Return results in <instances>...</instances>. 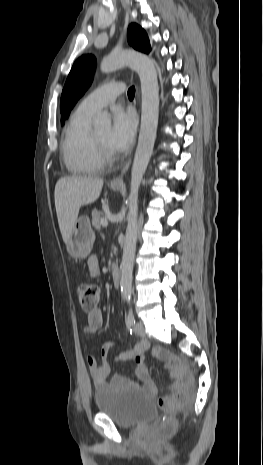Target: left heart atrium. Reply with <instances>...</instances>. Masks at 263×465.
<instances>
[{
	"instance_id": "left-heart-atrium-1",
	"label": "left heart atrium",
	"mask_w": 263,
	"mask_h": 465,
	"mask_svg": "<svg viewBox=\"0 0 263 465\" xmlns=\"http://www.w3.org/2000/svg\"><path fill=\"white\" fill-rule=\"evenodd\" d=\"M113 122L109 135V145L115 151L125 150L133 141L136 119L132 112L121 107L113 110Z\"/></svg>"
}]
</instances>
